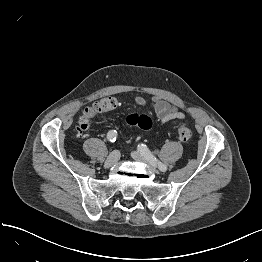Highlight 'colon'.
Segmentation results:
<instances>
[{
	"mask_svg": "<svg viewBox=\"0 0 262 262\" xmlns=\"http://www.w3.org/2000/svg\"><path fill=\"white\" fill-rule=\"evenodd\" d=\"M126 124L130 127H136L144 131H149L153 127L152 119L146 114H131L126 117ZM87 123L85 120L81 121V129H85ZM191 129L185 124L181 123L178 127V138L182 142H187L191 139Z\"/></svg>",
	"mask_w": 262,
	"mask_h": 262,
	"instance_id": "obj_1",
	"label": "colon"
}]
</instances>
